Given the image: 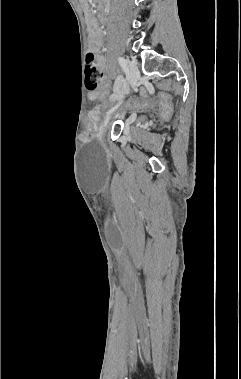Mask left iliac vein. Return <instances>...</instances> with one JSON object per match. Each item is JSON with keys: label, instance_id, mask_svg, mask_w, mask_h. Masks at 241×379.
I'll list each match as a JSON object with an SVG mask.
<instances>
[{"label": "left iliac vein", "instance_id": "left-iliac-vein-1", "mask_svg": "<svg viewBox=\"0 0 241 379\" xmlns=\"http://www.w3.org/2000/svg\"><path fill=\"white\" fill-rule=\"evenodd\" d=\"M127 64H128V73H129V82H130V85L131 86H135L136 83L139 80V77H140L139 69H138L136 63L134 61H132V60H128ZM124 98H125L124 95L121 96L120 99H119V102L115 106H113L106 113V115L104 117V120L102 121V123H101V125H100V127L98 129V134H99L100 137H104L105 136L107 128H108V125H109V121H110L112 115L114 114V112L122 104Z\"/></svg>", "mask_w": 241, "mask_h": 379}]
</instances>
